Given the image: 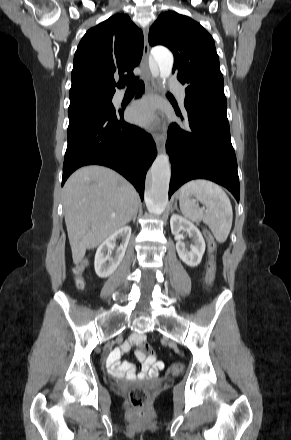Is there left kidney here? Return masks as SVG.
I'll use <instances>...</instances> for the list:
<instances>
[{
    "mask_svg": "<svg viewBox=\"0 0 291 440\" xmlns=\"http://www.w3.org/2000/svg\"><path fill=\"white\" fill-rule=\"evenodd\" d=\"M170 227L172 234L179 236V240L176 243V250L180 259L188 266L196 267L201 262L205 252V241L201 232L192 222L178 214L171 216ZM181 231L187 232L188 236L192 238L193 243L190 245V249L182 242Z\"/></svg>",
    "mask_w": 291,
    "mask_h": 440,
    "instance_id": "5707ae66",
    "label": "left kidney"
}]
</instances>
